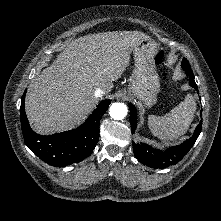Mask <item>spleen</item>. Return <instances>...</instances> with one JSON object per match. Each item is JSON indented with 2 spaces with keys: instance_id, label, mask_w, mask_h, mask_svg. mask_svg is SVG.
I'll list each match as a JSON object with an SVG mask.
<instances>
[{
  "instance_id": "obj_1",
  "label": "spleen",
  "mask_w": 221,
  "mask_h": 221,
  "mask_svg": "<svg viewBox=\"0 0 221 221\" xmlns=\"http://www.w3.org/2000/svg\"><path fill=\"white\" fill-rule=\"evenodd\" d=\"M196 111V102L188 94L185 100L164 116L149 115L148 125L151 133L162 140H175L189 128Z\"/></svg>"
}]
</instances>
